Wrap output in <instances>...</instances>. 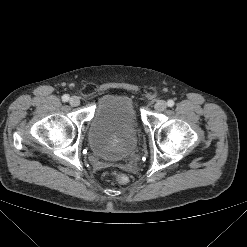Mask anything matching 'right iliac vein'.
Segmentation results:
<instances>
[{"instance_id":"63e3f726","label":"right iliac vein","mask_w":247,"mask_h":247,"mask_svg":"<svg viewBox=\"0 0 247 247\" xmlns=\"http://www.w3.org/2000/svg\"><path fill=\"white\" fill-rule=\"evenodd\" d=\"M69 103L72 106H78L80 104V99L77 96H73L70 98Z\"/></svg>"}]
</instances>
